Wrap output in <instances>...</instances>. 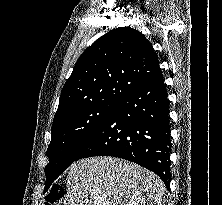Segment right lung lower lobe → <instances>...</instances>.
<instances>
[{
	"instance_id": "obj_1",
	"label": "right lung lower lobe",
	"mask_w": 222,
	"mask_h": 205,
	"mask_svg": "<svg viewBox=\"0 0 222 205\" xmlns=\"http://www.w3.org/2000/svg\"><path fill=\"white\" fill-rule=\"evenodd\" d=\"M169 101L163 75L130 91L106 117L75 161L113 156L135 162L170 185Z\"/></svg>"
}]
</instances>
